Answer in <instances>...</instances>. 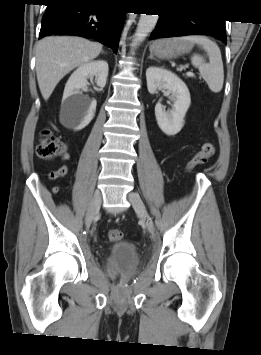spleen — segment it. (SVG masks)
<instances>
[{
    "mask_svg": "<svg viewBox=\"0 0 261 355\" xmlns=\"http://www.w3.org/2000/svg\"><path fill=\"white\" fill-rule=\"evenodd\" d=\"M176 39L195 43L206 52L209 62L202 56L194 54L191 63L198 68L209 89L214 93L220 92L224 82V70L218 45L205 36H183Z\"/></svg>",
    "mask_w": 261,
    "mask_h": 355,
    "instance_id": "spleen-1",
    "label": "spleen"
}]
</instances>
